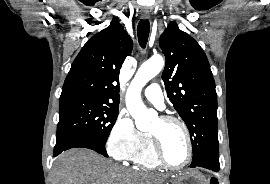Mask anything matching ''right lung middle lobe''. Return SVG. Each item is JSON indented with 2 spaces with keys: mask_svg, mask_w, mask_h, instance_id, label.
<instances>
[{
  "mask_svg": "<svg viewBox=\"0 0 270 184\" xmlns=\"http://www.w3.org/2000/svg\"><path fill=\"white\" fill-rule=\"evenodd\" d=\"M118 108L88 98L60 99L56 136L84 135L105 145L116 122Z\"/></svg>",
  "mask_w": 270,
  "mask_h": 184,
  "instance_id": "right-lung-middle-lobe-1",
  "label": "right lung middle lobe"
}]
</instances>
